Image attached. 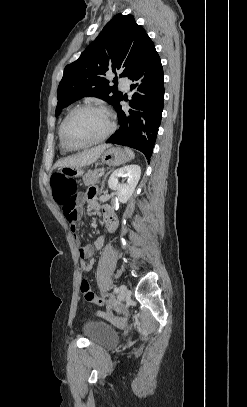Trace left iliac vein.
<instances>
[{
  "label": "left iliac vein",
  "mask_w": 247,
  "mask_h": 407,
  "mask_svg": "<svg viewBox=\"0 0 247 407\" xmlns=\"http://www.w3.org/2000/svg\"><path fill=\"white\" fill-rule=\"evenodd\" d=\"M128 294V288L126 285L122 284L119 286L118 301L121 302L125 299Z\"/></svg>",
  "instance_id": "left-iliac-vein-1"
}]
</instances>
